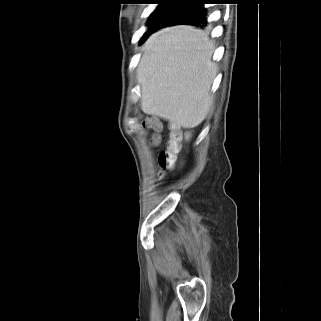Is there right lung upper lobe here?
<instances>
[{"label": "right lung upper lobe", "instance_id": "right-lung-upper-lobe-1", "mask_svg": "<svg viewBox=\"0 0 321 321\" xmlns=\"http://www.w3.org/2000/svg\"><path fill=\"white\" fill-rule=\"evenodd\" d=\"M157 1H169V2H172L175 6L188 4V3L194 2V1H201L202 2V0H157Z\"/></svg>", "mask_w": 321, "mask_h": 321}]
</instances>
